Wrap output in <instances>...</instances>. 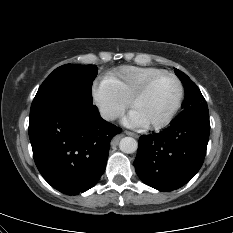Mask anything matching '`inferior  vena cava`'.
Listing matches in <instances>:
<instances>
[{"instance_id": "inferior-vena-cava-1", "label": "inferior vena cava", "mask_w": 233, "mask_h": 233, "mask_svg": "<svg viewBox=\"0 0 233 233\" xmlns=\"http://www.w3.org/2000/svg\"><path fill=\"white\" fill-rule=\"evenodd\" d=\"M101 117L105 120H114L117 117V114L109 108L100 109Z\"/></svg>"}]
</instances>
